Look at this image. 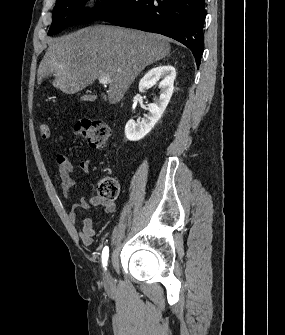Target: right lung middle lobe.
I'll list each match as a JSON object with an SVG mask.
<instances>
[{
	"instance_id": "obj_1",
	"label": "right lung middle lobe",
	"mask_w": 285,
	"mask_h": 335,
	"mask_svg": "<svg viewBox=\"0 0 285 335\" xmlns=\"http://www.w3.org/2000/svg\"><path fill=\"white\" fill-rule=\"evenodd\" d=\"M88 0H58L53 10L52 25L48 35H55L65 28L96 20L120 0H101L94 9H84Z\"/></svg>"
}]
</instances>
